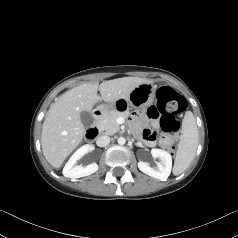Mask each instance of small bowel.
<instances>
[{
  "instance_id": "obj_1",
  "label": "small bowel",
  "mask_w": 238,
  "mask_h": 238,
  "mask_svg": "<svg viewBox=\"0 0 238 238\" xmlns=\"http://www.w3.org/2000/svg\"><path fill=\"white\" fill-rule=\"evenodd\" d=\"M145 118L150 121L154 122V126H157V121L161 116L160 109L155 105L148 106L144 111ZM144 122V117L141 115L135 116L133 118V123L136 127H140ZM141 137L143 141L149 145L154 146L156 144V133L150 129L144 128L141 130Z\"/></svg>"
}]
</instances>
